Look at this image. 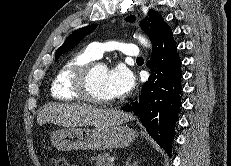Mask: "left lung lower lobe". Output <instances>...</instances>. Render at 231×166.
Returning a JSON list of instances; mask_svg holds the SVG:
<instances>
[{"label":"left lung lower lobe","mask_w":231,"mask_h":166,"mask_svg":"<svg viewBox=\"0 0 231 166\" xmlns=\"http://www.w3.org/2000/svg\"><path fill=\"white\" fill-rule=\"evenodd\" d=\"M151 76L142 87L140 98L122 109L132 112L156 142L171 154L174 126L181 105V60L170 28L153 44L147 61Z\"/></svg>","instance_id":"0a47b994"}]
</instances>
